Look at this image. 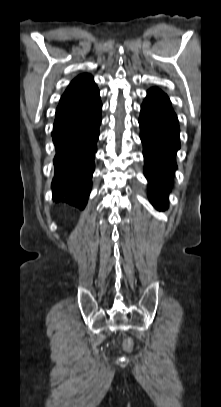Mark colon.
Returning a JSON list of instances; mask_svg holds the SVG:
<instances>
[{"label":"colon","mask_w":221,"mask_h":407,"mask_svg":"<svg viewBox=\"0 0 221 407\" xmlns=\"http://www.w3.org/2000/svg\"><path fill=\"white\" fill-rule=\"evenodd\" d=\"M123 348L125 352H131L133 349V340L131 338H126L123 343Z\"/></svg>","instance_id":"obj_1"}]
</instances>
